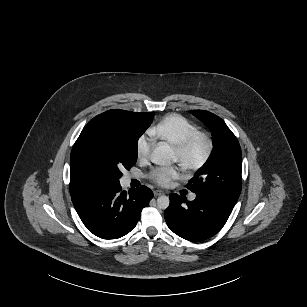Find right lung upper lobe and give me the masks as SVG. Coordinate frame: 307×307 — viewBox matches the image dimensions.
Returning a JSON list of instances; mask_svg holds the SVG:
<instances>
[{
  "label": "right lung upper lobe",
  "mask_w": 307,
  "mask_h": 307,
  "mask_svg": "<svg viewBox=\"0 0 307 307\" xmlns=\"http://www.w3.org/2000/svg\"><path fill=\"white\" fill-rule=\"evenodd\" d=\"M129 112V111H128ZM131 114V116L133 117V119L139 121L140 123L143 124H148L150 122H152L153 113H134V112H129ZM91 185H89L88 183L80 180L79 178H77L73 171L71 170V175H70V185H69V189H70V194L71 196L84 190L85 188L89 187Z\"/></svg>",
  "instance_id": "obj_1"
}]
</instances>
